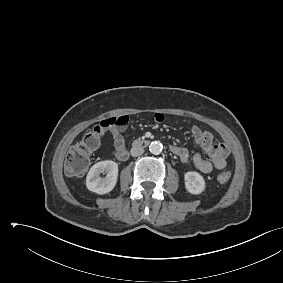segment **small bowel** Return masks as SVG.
I'll return each instance as SVG.
<instances>
[{
	"label": "small bowel",
	"instance_id": "c3829d8e",
	"mask_svg": "<svg viewBox=\"0 0 283 283\" xmlns=\"http://www.w3.org/2000/svg\"><path fill=\"white\" fill-rule=\"evenodd\" d=\"M153 120L158 123L162 122L163 115L161 113H155ZM128 121L129 119L126 115H120L104 119L101 122L104 132L111 131L113 135L114 146L112 154L121 161L125 160L128 156L124 140V132L126 131ZM191 132L195 142L202 148L205 155L199 152L193 155L192 162L195 167L203 173H210L214 168H225L227 158L230 154L228 144L224 142L215 143L213 141V134L208 130L201 129L197 125H192ZM171 151L182 163H188L190 161L189 151L185 147L172 145Z\"/></svg>",
	"mask_w": 283,
	"mask_h": 283
}]
</instances>
